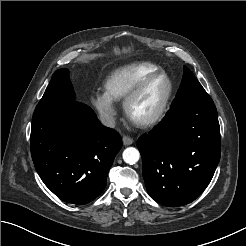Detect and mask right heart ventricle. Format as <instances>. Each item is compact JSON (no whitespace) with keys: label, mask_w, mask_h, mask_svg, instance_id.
Instances as JSON below:
<instances>
[{"label":"right heart ventricle","mask_w":246,"mask_h":246,"mask_svg":"<svg viewBox=\"0 0 246 246\" xmlns=\"http://www.w3.org/2000/svg\"><path fill=\"white\" fill-rule=\"evenodd\" d=\"M157 71H161V68L151 62L121 66L112 71L105 80V91L113 100H124L139 81Z\"/></svg>","instance_id":"e07e8e85"}]
</instances>
